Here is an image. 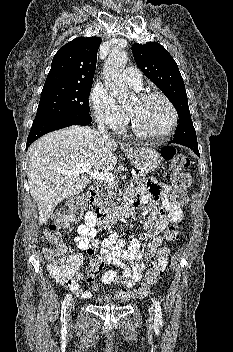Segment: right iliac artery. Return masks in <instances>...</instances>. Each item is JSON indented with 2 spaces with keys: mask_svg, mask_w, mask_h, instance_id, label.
<instances>
[{
  "mask_svg": "<svg viewBox=\"0 0 233 352\" xmlns=\"http://www.w3.org/2000/svg\"><path fill=\"white\" fill-rule=\"evenodd\" d=\"M71 300V294H67V296L65 297L63 303H62V307H61V322H62V327H63V330H65V318H66V308L69 304Z\"/></svg>",
  "mask_w": 233,
  "mask_h": 352,
  "instance_id": "right-iliac-artery-1",
  "label": "right iliac artery"
}]
</instances>
